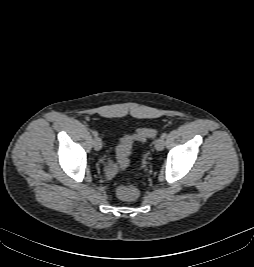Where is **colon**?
Segmentation results:
<instances>
[{"label":"colon","instance_id":"5ec220e1","mask_svg":"<svg viewBox=\"0 0 254 267\" xmlns=\"http://www.w3.org/2000/svg\"><path fill=\"white\" fill-rule=\"evenodd\" d=\"M156 134L157 131L155 129L141 128L134 134L124 136L117 147V157L121 166L123 168L128 166L131 149L135 142H143ZM116 194L121 200L134 201L138 198L139 191L134 186L119 185L116 188Z\"/></svg>","mask_w":254,"mask_h":267}]
</instances>
